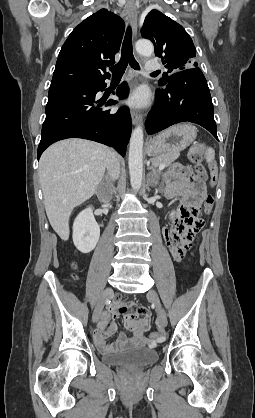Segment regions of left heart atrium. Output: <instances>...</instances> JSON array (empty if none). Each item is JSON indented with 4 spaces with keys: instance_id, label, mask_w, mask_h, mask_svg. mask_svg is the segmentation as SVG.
Returning a JSON list of instances; mask_svg holds the SVG:
<instances>
[{
    "instance_id": "obj_1",
    "label": "left heart atrium",
    "mask_w": 255,
    "mask_h": 418,
    "mask_svg": "<svg viewBox=\"0 0 255 418\" xmlns=\"http://www.w3.org/2000/svg\"><path fill=\"white\" fill-rule=\"evenodd\" d=\"M148 101V91L144 87H140L132 93L128 99V104L134 107H143L148 103Z\"/></svg>"
}]
</instances>
